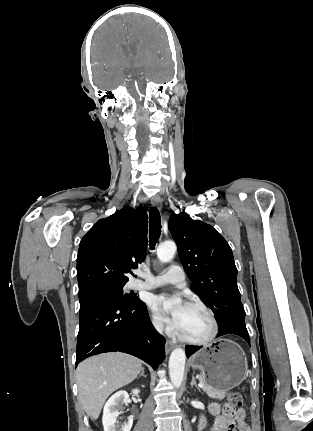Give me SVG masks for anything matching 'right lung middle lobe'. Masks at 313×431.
Listing matches in <instances>:
<instances>
[{
	"instance_id": "obj_1",
	"label": "right lung middle lobe",
	"mask_w": 313,
	"mask_h": 431,
	"mask_svg": "<svg viewBox=\"0 0 313 431\" xmlns=\"http://www.w3.org/2000/svg\"><path fill=\"white\" fill-rule=\"evenodd\" d=\"M124 285L125 284L103 287L100 290H98L97 292L113 294V295H116V296L122 298L123 300H125L127 302H134L135 300H137L138 297L136 295H133L132 293H130V294H124L123 293Z\"/></svg>"
}]
</instances>
